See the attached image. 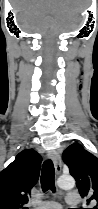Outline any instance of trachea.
<instances>
[{
  "mask_svg": "<svg viewBox=\"0 0 98 209\" xmlns=\"http://www.w3.org/2000/svg\"><path fill=\"white\" fill-rule=\"evenodd\" d=\"M54 165L51 160H46L42 166L41 172V187L43 192L51 190L53 192L56 191L55 182H54Z\"/></svg>",
  "mask_w": 98,
  "mask_h": 209,
  "instance_id": "obj_1",
  "label": "trachea"
}]
</instances>
